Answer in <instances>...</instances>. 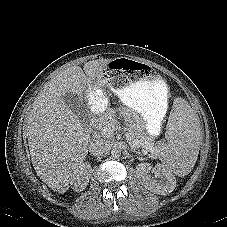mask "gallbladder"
Listing matches in <instances>:
<instances>
[{
  "instance_id": "obj_1",
  "label": "gallbladder",
  "mask_w": 227,
  "mask_h": 227,
  "mask_svg": "<svg viewBox=\"0 0 227 227\" xmlns=\"http://www.w3.org/2000/svg\"><path fill=\"white\" fill-rule=\"evenodd\" d=\"M65 103L80 120H85V117L89 113V110L76 95H74L73 93L66 94Z\"/></svg>"
}]
</instances>
